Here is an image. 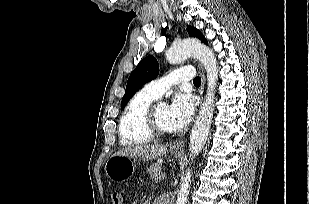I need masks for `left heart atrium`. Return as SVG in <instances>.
I'll use <instances>...</instances> for the list:
<instances>
[{
    "label": "left heart atrium",
    "instance_id": "obj_1",
    "mask_svg": "<svg viewBox=\"0 0 309 204\" xmlns=\"http://www.w3.org/2000/svg\"><path fill=\"white\" fill-rule=\"evenodd\" d=\"M194 102L188 94H177L169 106V122L172 130L188 125L194 115Z\"/></svg>",
    "mask_w": 309,
    "mask_h": 204
}]
</instances>
